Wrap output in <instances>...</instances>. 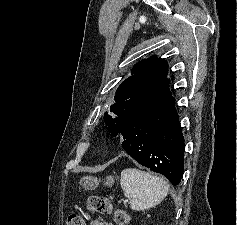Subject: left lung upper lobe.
<instances>
[{
    "mask_svg": "<svg viewBox=\"0 0 237 225\" xmlns=\"http://www.w3.org/2000/svg\"><path fill=\"white\" fill-rule=\"evenodd\" d=\"M166 69V61H158L155 57L134 66L132 76L117 89L115 103L110 107L112 115L108 112L104 114L105 123L112 135L117 134L121 123L130 113L172 97Z\"/></svg>",
    "mask_w": 237,
    "mask_h": 225,
    "instance_id": "5c2ea615",
    "label": "left lung upper lobe"
}]
</instances>
